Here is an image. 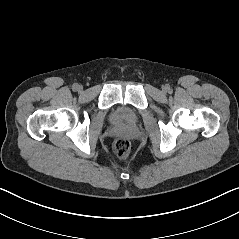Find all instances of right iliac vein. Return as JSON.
I'll return each instance as SVG.
<instances>
[{"label":"right iliac vein","mask_w":239,"mask_h":239,"mask_svg":"<svg viewBox=\"0 0 239 239\" xmlns=\"http://www.w3.org/2000/svg\"><path fill=\"white\" fill-rule=\"evenodd\" d=\"M77 90H78V91H82V90H83V87H82V86H79Z\"/></svg>","instance_id":"right-iliac-vein-1"}]
</instances>
